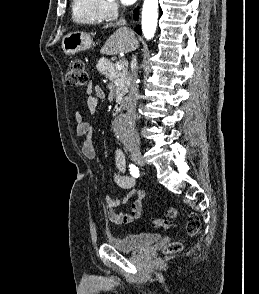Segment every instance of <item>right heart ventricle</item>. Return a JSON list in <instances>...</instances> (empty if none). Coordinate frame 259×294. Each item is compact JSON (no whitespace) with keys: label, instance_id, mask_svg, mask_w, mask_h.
Here are the masks:
<instances>
[{"label":"right heart ventricle","instance_id":"1","mask_svg":"<svg viewBox=\"0 0 259 294\" xmlns=\"http://www.w3.org/2000/svg\"><path fill=\"white\" fill-rule=\"evenodd\" d=\"M72 16L75 22L82 24L101 23L106 19L102 0H73Z\"/></svg>","mask_w":259,"mask_h":294}]
</instances>
